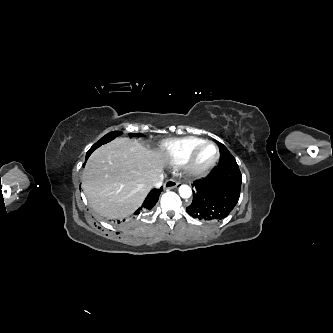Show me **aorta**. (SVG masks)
<instances>
[{
	"label": "aorta",
	"mask_w": 333,
	"mask_h": 333,
	"mask_svg": "<svg viewBox=\"0 0 333 333\" xmlns=\"http://www.w3.org/2000/svg\"><path fill=\"white\" fill-rule=\"evenodd\" d=\"M179 194L182 198H189L192 194V190L188 185H181L179 187Z\"/></svg>",
	"instance_id": "1"
}]
</instances>
